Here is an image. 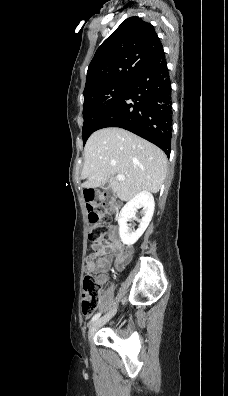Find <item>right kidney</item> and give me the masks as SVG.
<instances>
[{
    "mask_svg": "<svg viewBox=\"0 0 228 396\" xmlns=\"http://www.w3.org/2000/svg\"><path fill=\"white\" fill-rule=\"evenodd\" d=\"M139 208L143 210V217L139 221V228L136 231H131L127 222L132 218L135 219V214ZM154 208L155 202L153 195L148 191H142L128 201L121 209L118 217L119 234L121 241L125 245L135 244L142 236L152 219Z\"/></svg>",
    "mask_w": 228,
    "mask_h": 396,
    "instance_id": "1",
    "label": "right kidney"
}]
</instances>
